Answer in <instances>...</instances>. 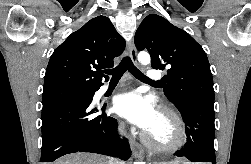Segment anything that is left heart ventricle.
Returning a JSON list of instances; mask_svg holds the SVG:
<instances>
[{"label":"left heart ventricle","mask_w":251,"mask_h":164,"mask_svg":"<svg viewBox=\"0 0 251 164\" xmlns=\"http://www.w3.org/2000/svg\"><path fill=\"white\" fill-rule=\"evenodd\" d=\"M150 133L157 142H166L172 137L170 124L160 116Z\"/></svg>","instance_id":"b2bd125f"}]
</instances>
